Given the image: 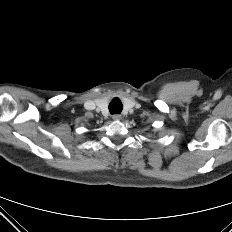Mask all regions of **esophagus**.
<instances>
[{"label": "esophagus", "mask_w": 232, "mask_h": 232, "mask_svg": "<svg viewBox=\"0 0 232 232\" xmlns=\"http://www.w3.org/2000/svg\"><path fill=\"white\" fill-rule=\"evenodd\" d=\"M112 119L115 120V121H119V120L121 119V115H119V114H114V115L112 116Z\"/></svg>", "instance_id": "esophagus-1"}]
</instances>
